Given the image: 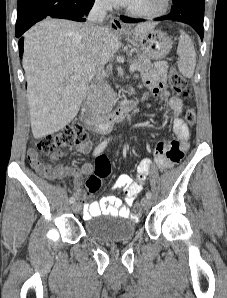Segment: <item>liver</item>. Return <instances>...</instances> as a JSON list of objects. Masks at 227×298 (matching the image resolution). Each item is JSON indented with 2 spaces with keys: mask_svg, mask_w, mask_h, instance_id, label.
<instances>
[{
  "mask_svg": "<svg viewBox=\"0 0 227 298\" xmlns=\"http://www.w3.org/2000/svg\"><path fill=\"white\" fill-rule=\"evenodd\" d=\"M155 25L139 24L132 34L141 37ZM84 27L48 18L25 35L23 67L36 139L59 131L75 118L90 81L121 46L117 33L109 28L101 27L97 37L90 40Z\"/></svg>",
  "mask_w": 227,
  "mask_h": 298,
  "instance_id": "obj_1",
  "label": "liver"
}]
</instances>
